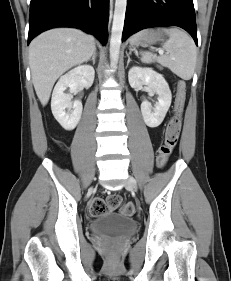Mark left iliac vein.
<instances>
[{
	"label": "left iliac vein",
	"instance_id": "4c4485c4",
	"mask_svg": "<svg viewBox=\"0 0 231 281\" xmlns=\"http://www.w3.org/2000/svg\"><path fill=\"white\" fill-rule=\"evenodd\" d=\"M126 186L131 188L132 190L136 191L137 190V183L136 180L133 177H129L126 181Z\"/></svg>",
	"mask_w": 231,
	"mask_h": 281
}]
</instances>
